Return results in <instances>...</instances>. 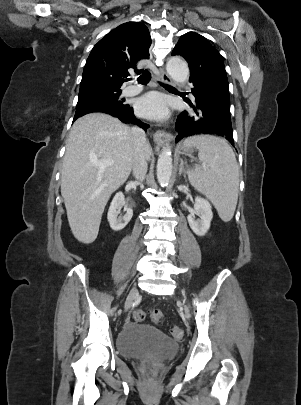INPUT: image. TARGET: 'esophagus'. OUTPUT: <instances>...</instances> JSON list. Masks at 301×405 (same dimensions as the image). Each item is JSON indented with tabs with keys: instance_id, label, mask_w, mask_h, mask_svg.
Returning <instances> with one entry per match:
<instances>
[{
	"instance_id": "obj_1",
	"label": "esophagus",
	"mask_w": 301,
	"mask_h": 405,
	"mask_svg": "<svg viewBox=\"0 0 301 405\" xmlns=\"http://www.w3.org/2000/svg\"><path fill=\"white\" fill-rule=\"evenodd\" d=\"M160 79L168 85L172 84L171 78L163 70H160ZM153 138L155 143H157L158 145H163L165 142L171 141L173 139V136L170 133L165 132L164 130H157L154 133Z\"/></svg>"
}]
</instances>
